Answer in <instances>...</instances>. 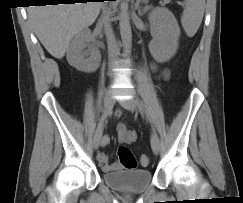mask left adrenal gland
Instances as JSON below:
<instances>
[{
    "label": "left adrenal gland",
    "mask_w": 243,
    "mask_h": 203,
    "mask_svg": "<svg viewBox=\"0 0 243 203\" xmlns=\"http://www.w3.org/2000/svg\"><path fill=\"white\" fill-rule=\"evenodd\" d=\"M135 9L138 11V15L142 16L145 13V10H141V8L139 7L138 3L135 4Z\"/></svg>",
    "instance_id": "left-adrenal-gland-1"
}]
</instances>
